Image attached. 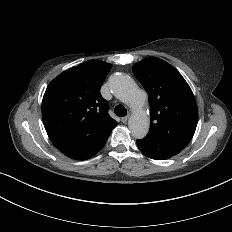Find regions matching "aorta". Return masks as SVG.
<instances>
[{
  "instance_id": "762f6f07",
  "label": "aorta",
  "mask_w": 232,
  "mask_h": 232,
  "mask_svg": "<svg viewBox=\"0 0 232 232\" xmlns=\"http://www.w3.org/2000/svg\"><path fill=\"white\" fill-rule=\"evenodd\" d=\"M110 89L123 103L131 106L133 112L128 120V127L133 137L144 138L150 127V119L143 106L147 94L126 74H116L110 78Z\"/></svg>"
}]
</instances>
